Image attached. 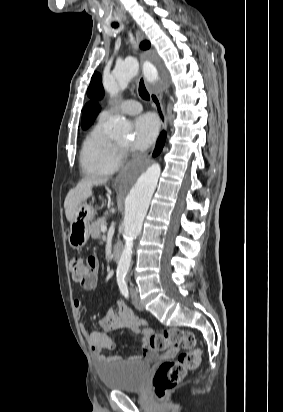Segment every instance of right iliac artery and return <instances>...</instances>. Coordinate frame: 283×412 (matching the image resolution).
Listing matches in <instances>:
<instances>
[{
  "instance_id": "obj_1",
  "label": "right iliac artery",
  "mask_w": 283,
  "mask_h": 412,
  "mask_svg": "<svg viewBox=\"0 0 283 412\" xmlns=\"http://www.w3.org/2000/svg\"><path fill=\"white\" fill-rule=\"evenodd\" d=\"M117 282H118L121 293L125 296V298H129V291H128L127 284L124 280V276L121 274L117 275Z\"/></svg>"
}]
</instances>
